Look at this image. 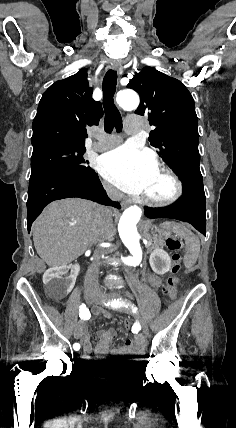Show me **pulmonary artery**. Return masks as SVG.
Returning a JSON list of instances; mask_svg holds the SVG:
<instances>
[{
  "label": "pulmonary artery",
  "instance_id": "pulmonary-artery-1",
  "mask_svg": "<svg viewBox=\"0 0 236 428\" xmlns=\"http://www.w3.org/2000/svg\"><path fill=\"white\" fill-rule=\"evenodd\" d=\"M121 141V137L119 135L116 136L115 140L111 143H103V142H94L91 144V149L96 152H103L115 146L118 142Z\"/></svg>",
  "mask_w": 236,
  "mask_h": 428
}]
</instances>
